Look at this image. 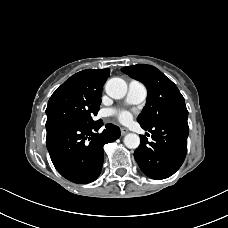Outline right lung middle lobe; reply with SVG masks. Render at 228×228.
I'll return each instance as SVG.
<instances>
[{
  "label": "right lung middle lobe",
  "instance_id": "obj_1",
  "mask_svg": "<svg viewBox=\"0 0 228 228\" xmlns=\"http://www.w3.org/2000/svg\"><path fill=\"white\" fill-rule=\"evenodd\" d=\"M101 104V93L87 92L64 82L51 96L46 109L47 132L66 124L94 123Z\"/></svg>",
  "mask_w": 228,
  "mask_h": 228
}]
</instances>
